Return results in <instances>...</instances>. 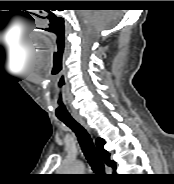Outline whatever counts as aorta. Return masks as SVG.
Listing matches in <instances>:
<instances>
[{"label": "aorta", "mask_w": 174, "mask_h": 184, "mask_svg": "<svg viewBox=\"0 0 174 184\" xmlns=\"http://www.w3.org/2000/svg\"><path fill=\"white\" fill-rule=\"evenodd\" d=\"M83 171V168L81 165H75L71 169H69L70 173H80Z\"/></svg>", "instance_id": "obj_1"}]
</instances>
